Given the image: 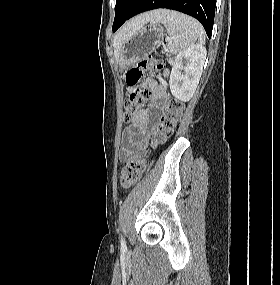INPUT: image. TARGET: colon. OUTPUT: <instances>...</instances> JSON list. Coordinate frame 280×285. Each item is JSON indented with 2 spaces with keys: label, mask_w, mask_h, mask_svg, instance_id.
Returning <instances> with one entry per match:
<instances>
[{
  "label": "colon",
  "mask_w": 280,
  "mask_h": 285,
  "mask_svg": "<svg viewBox=\"0 0 280 285\" xmlns=\"http://www.w3.org/2000/svg\"><path fill=\"white\" fill-rule=\"evenodd\" d=\"M162 70L163 63L151 56L138 61L128 70L126 83L132 88V91L124 103L123 119L125 122L130 121L150 99V90L140 86V82L145 77L146 72L149 71L156 75ZM182 111V102L173 98L169 99L165 112L148 140L149 148H155L171 136L181 118ZM144 167L145 162L141 155H135L126 160L120 177L122 187L127 189L134 186L140 179Z\"/></svg>",
  "instance_id": "obj_1"
}]
</instances>
